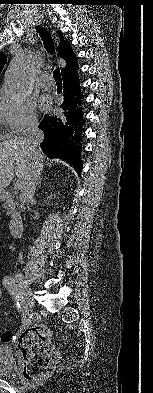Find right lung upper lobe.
I'll list each match as a JSON object with an SVG mask.
<instances>
[{
  "label": "right lung upper lobe",
  "mask_w": 153,
  "mask_h": 393,
  "mask_svg": "<svg viewBox=\"0 0 153 393\" xmlns=\"http://www.w3.org/2000/svg\"><path fill=\"white\" fill-rule=\"evenodd\" d=\"M60 36V46L58 50L59 57H62L66 61V66L61 70L62 75L69 73L70 71H75L77 67V62L75 59V55L70 49L69 43L64 40L62 35H60V31H58ZM6 62V56L3 53H0V71L3 68L4 63Z\"/></svg>",
  "instance_id": "cb5924a9"
}]
</instances>
